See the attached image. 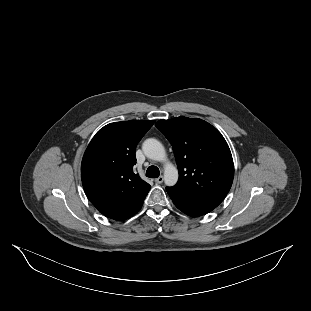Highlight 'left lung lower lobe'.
Wrapping results in <instances>:
<instances>
[{"label": "left lung lower lobe", "instance_id": "left-lung-lower-lobe-1", "mask_svg": "<svg viewBox=\"0 0 311 311\" xmlns=\"http://www.w3.org/2000/svg\"><path fill=\"white\" fill-rule=\"evenodd\" d=\"M166 191L175 206L191 217L207 214L220 204L215 201L192 197L187 193L172 189L171 187H167Z\"/></svg>", "mask_w": 311, "mask_h": 311}]
</instances>
